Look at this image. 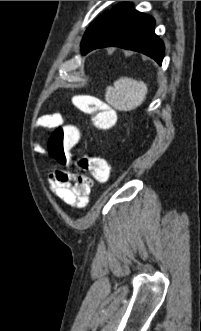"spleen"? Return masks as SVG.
Instances as JSON below:
<instances>
[{
  "mask_svg": "<svg viewBox=\"0 0 201 331\" xmlns=\"http://www.w3.org/2000/svg\"><path fill=\"white\" fill-rule=\"evenodd\" d=\"M147 92V85L143 81L121 77L113 87H107L105 99L117 110L130 111L143 103Z\"/></svg>",
  "mask_w": 201,
  "mask_h": 331,
  "instance_id": "3e777b00",
  "label": "spleen"
}]
</instances>
